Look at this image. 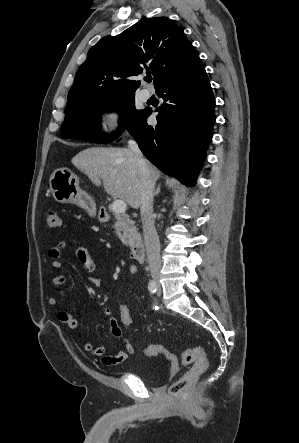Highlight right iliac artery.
<instances>
[{
	"label": "right iliac artery",
	"mask_w": 299,
	"mask_h": 443,
	"mask_svg": "<svg viewBox=\"0 0 299 443\" xmlns=\"http://www.w3.org/2000/svg\"><path fill=\"white\" fill-rule=\"evenodd\" d=\"M148 290L150 291V293L154 294L157 290V285L156 282L154 280H151L148 284Z\"/></svg>",
	"instance_id": "obj_1"
}]
</instances>
